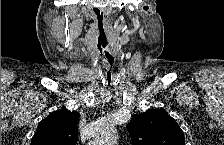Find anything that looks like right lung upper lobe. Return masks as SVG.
Segmentation results:
<instances>
[{
  "label": "right lung upper lobe",
  "mask_w": 224,
  "mask_h": 145,
  "mask_svg": "<svg viewBox=\"0 0 224 145\" xmlns=\"http://www.w3.org/2000/svg\"><path fill=\"white\" fill-rule=\"evenodd\" d=\"M78 117L77 112L67 109L51 113L38 124L31 145H75Z\"/></svg>",
  "instance_id": "cb5924a9"
}]
</instances>
